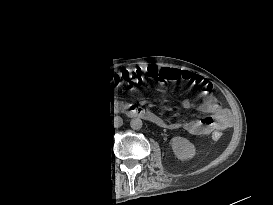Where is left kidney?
Wrapping results in <instances>:
<instances>
[{
    "mask_svg": "<svg viewBox=\"0 0 273 205\" xmlns=\"http://www.w3.org/2000/svg\"><path fill=\"white\" fill-rule=\"evenodd\" d=\"M170 145L175 156L182 161L192 159L195 156V146L186 138L179 136L173 137L170 141Z\"/></svg>",
    "mask_w": 273,
    "mask_h": 205,
    "instance_id": "left-kidney-1",
    "label": "left kidney"
}]
</instances>
